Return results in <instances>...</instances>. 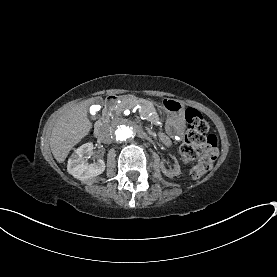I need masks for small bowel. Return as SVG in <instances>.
<instances>
[{
    "mask_svg": "<svg viewBox=\"0 0 277 277\" xmlns=\"http://www.w3.org/2000/svg\"><path fill=\"white\" fill-rule=\"evenodd\" d=\"M178 132L181 133V130L179 129ZM161 137H162L163 141H164L166 144H170V139H169L168 136L162 134Z\"/></svg>",
    "mask_w": 277,
    "mask_h": 277,
    "instance_id": "1",
    "label": "small bowel"
}]
</instances>
